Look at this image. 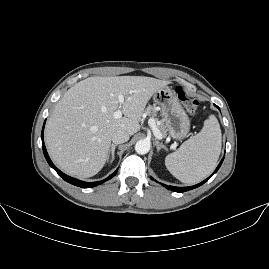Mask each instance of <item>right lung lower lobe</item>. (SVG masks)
Returning <instances> with one entry per match:
<instances>
[{
  "label": "right lung lower lobe",
  "mask_w": 269,
  "mask_h": 269,
  "mask_svg": "<svg viewBox=\"0 0 269 269\" xmlns=\"http://www.w3.org/2000/svg\"><path fill=\"white\" fill-rule=\"evenodd\" d=\"M45 125V122H44ZM44 125H43V129H42V133H41V138H42V148H43V153L44 156L47 160V162L49 163V165L58 173V175H60L65 181L69 182L70 184H73L75 186L81 187V188H91V187H95L98 184H101L109 179H111L113 176H115V174L117 173V170L111 174L109 177H107L106 179L100 181V182H84V181H80L78 179L72 178L67 176L66 174L62 173L57 167H55V165L52 163L51 159L49 158V155L47 153L45 144H44V139H43V132H44Z\"/></svg>",
  "instance_id": "right-lung-lower-lobe-1"
}]
</instances>
